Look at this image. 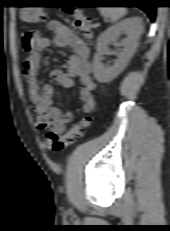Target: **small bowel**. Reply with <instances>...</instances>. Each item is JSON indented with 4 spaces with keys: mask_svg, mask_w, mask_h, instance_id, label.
Segmentation results:
<instances>
[{
    "mask_svg": "<svg viewBox=\"0 0 170 231\" xmlns=\"http://www.w3.org/2000/svg\"><path fill=\"white\" fill-rule=\"evenodd\" d=\"M49 29L53 32V42L62 48L72 50L63 69H55L51 75L66 88L74 86V79L79 82L78 94L82 111L89 113L95 103L92 95L95 84L90 76V49L68 25L51 21ZM23 48L28 56L23 65V76L30 95L32 110L36 115V126L41 130H51L56 134L65 131L66 125L73 119L71 111L62 112L53 105V88L42 84L38 78L42 51L51 45V40L36 32H27L23 37Z\"/></svg>",
    "mask_w": 170,
    "mask_h": 231,
    "instance_id": "1",
    "label": "small bowel"
}]
</instances>
